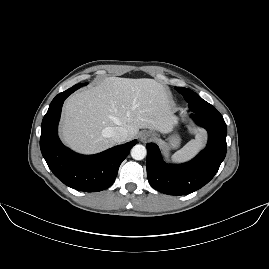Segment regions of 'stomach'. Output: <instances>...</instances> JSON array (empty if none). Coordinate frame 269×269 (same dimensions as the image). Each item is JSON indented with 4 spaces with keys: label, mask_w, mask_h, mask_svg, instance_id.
Here are the masks:
<instances>
[{
    "label": "stomach",
    "mask_w": 269,
    "mask_h": 269,
    "mask_svg": "<svg viewBox=\"0 0 269 269\" xmlns=\"http://www.w3.org/2000/svg\"><path fill=\"white\" fill-rule=\"evenodd\" d=\"M164 146L165 150L176 149L180 145V138L178 136H171L167 142H159Z\"/></svg>",
    "instance_id": "stomach-1"
}]
</instances>
